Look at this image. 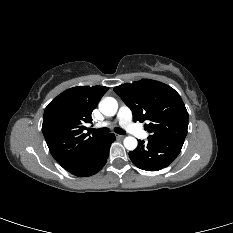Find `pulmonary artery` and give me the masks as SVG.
<instances>
[{"mask_svg": "<svg viewBox=\"0 0 233 233\" xmlns=\"http://www.w3.org/2000/svg\"><path fill=\"white\" fill-rule=\"evenodd\" d=\"M115 122H118L126 131L138 138H145L147 135L139 126L132 121V112L127 106L120 107ZM113 122V123H115ZM113 123L106 122L102 126H110Z\"/></svg>", "mask_w": 233, "mask_h": 233, "instance_id": "obj_1", "label": "pulmonary artery"}]
</instances>
